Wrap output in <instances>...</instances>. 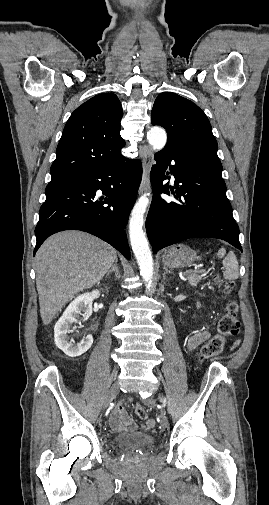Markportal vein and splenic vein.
<instances>
[{"label": "portal vein and splenic vein", "mask_w": 269, "mask_h": 505, "mask_svg": "<svg viewBox=\"0 0 269 505\" xmlns=\"http://www.w3.org/2000/svg\"><path fill=\"white\" fill-rule=\"evenodd\" d=\"M191 270H188L187 272L184 273V275H187V273H189Z\"/></svg>", "instance_id": "portal-vein-and-splenic-vein-1"}]
</instances>
